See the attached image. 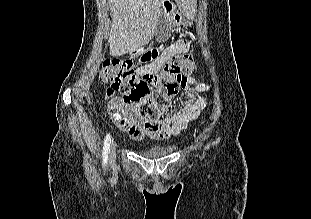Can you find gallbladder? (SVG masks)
Listing matches in <instances>:
<instances>
[{
	"label": "gallbladder",
	"instance_id": "obj_1",
	"mask_svg": "<svg viewBox=\"0 0 311 219\" xmlns=\"http://www.w3.org/2000/svg\"><path fill=\"white\" fill-rule=\"evenodd\" d=\"M157 38L159 41L166 40L170 35L171 25L163 16V14H160L158 20H157Z\"/></svg>",
	"mask_w": 311,
	"mask_h": 219
}]
</instances>
